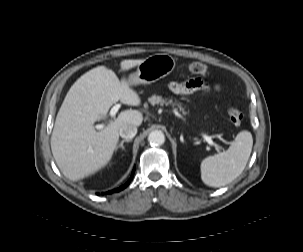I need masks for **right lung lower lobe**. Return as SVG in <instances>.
I'll return each instance as SVG.
<instances>
[{"label": "right lung lower lobe", "mask_w": 303, "mask_h": 252, "mask_svg": "<svg viewBox=\"0 0 303 252\" xmlns=\"http://www.w3.org/2000/svg\"><path fill=\"white\" fill-rule=\"evenodd\" d=\"M134 172H135V169H134L133 172H132L131 178L129 179V181H128L125 185L121 186V187L118 188V189H114V190H111V191H109V192L102 193V194H110V193L119 192V191L123 190L125 187L128 186V184H129L130 181L132 180V177H133Z\"/></svg>", "instance_id": "obj_1"}]
</instances>
